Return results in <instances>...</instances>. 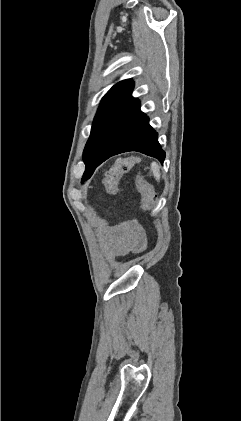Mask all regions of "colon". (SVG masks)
<instances>
[{"instance_id": "obj_1", "label": "colon", "mask_w": 241, "mask_h": 421, "mask_svg": "<svg viewBox=\"0 0 241 421\" xmlns=\"http://www.w3.org/2000/svg\"><path fill=\"white\" fill-rule=\"evenodd\" d=\"M136 162L137 158L132 156L120 158L115 162L104 178L107 193L110 195L117 194L121 177L128 173ZM136 186L142 195L143 207L146 210H152L156 203V194L152 186L141 175L136 179Z\"/></svg>"}]
</instances>
